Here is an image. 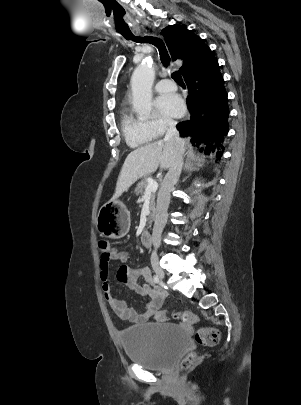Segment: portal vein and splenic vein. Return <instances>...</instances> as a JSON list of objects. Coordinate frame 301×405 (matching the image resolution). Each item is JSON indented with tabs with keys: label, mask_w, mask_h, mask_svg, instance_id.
Instances as JSON below:
<instances>
[{
	"label": "portal vein and splenic vein",
	"mask_w": 301,
	"mask_h": 405,
	"mask_svg": "<svg viewBox=\"0 0 301 405\" xmlns=\"http://www.w3.org/2000/svg\"><path fill=\"white\" fill-rule=\"evenodd\" d=\"M158 189V183L153 180V179H148V185L145 188V194H151L153 192H156Z\"/></svg>",
	"instance_id": "portal-vein-and-splenic-vein-1"
}]
</instances>
